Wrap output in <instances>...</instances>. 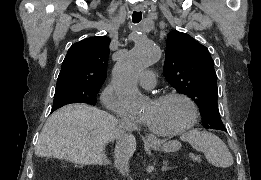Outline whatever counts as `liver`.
Returning <instances> with one entry per match:
<instances>
[{"mask_svg": "<svg viewBox=\"0 0 261 180\" xmlns=\"http://www.w3.org/2000/svg\"><path fill=\"white\" fill-rule=\"evenodd\" d=\"M117 118L85 104H70L48 118L38 142V158H57L79 166H107L105 152L116 142L115 152L127 150L133 156L136 140L126 134Z\"/></svg>", "mask_w": 261, "mask_h": 180, "instance_id": "1", "label": "liver"}]
</instances>
